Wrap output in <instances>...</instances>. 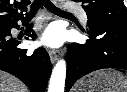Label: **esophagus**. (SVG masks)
Instances as JSON below:
<instances>
[{"label":"esophagus","instance_id":"obj_1","mask_svg":"<svg viewBox=\"0 0 127 92\" xmlns=\"http://www.w3.org/2000/svg\"><path fill=\"white\" fill-rule=\"evenodd\" d=\"M48 53H49V57H50L52 63H54L59 57V53L56 50H51L50 49L48 51Z\"/></svg>","mask_w":127,"mask_h":92}]
</instances>
